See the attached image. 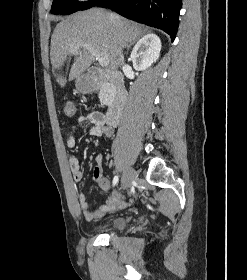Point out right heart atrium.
<instances>
[{"instance_id":"right-heart-atrium-1","label":"right heart atrium","mask_w":247,"mask_h":280,"mask_svg":"<svg viewBox=\"0 0 247 280\" xmlns=\"http://www.w3.org/2000/svg\"><path fill=\"white\" fill-rule=\"evenodd\" d=\"M79 1H87V0H79Z\"/></svg>"}]
</instances>
